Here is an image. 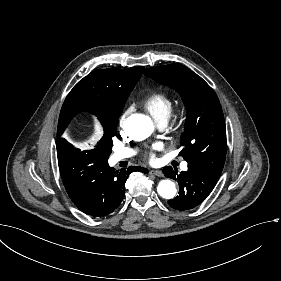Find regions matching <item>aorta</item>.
I'll use <instances>...</instances> for the list:
<instances>
[{
    "mask_svg": "<svg viewBox=\"0 0 281 281\" xmlns=\"http://www.w3.org/2000/svg\"><path fill=\"white\" fill-rule=\"evenodd\" d=\"M125 130L135 140L141 141L152 134L154 126L150 117L133 114L127 119ZM157 192L164 199H172L175 197L177 189L174 182L166 179L159 182Z\"/></svg>",
    "mask_w": 281,
    "mask_h": 281,
    "instance_id": "aorta-1",
    "label": "aorta"
}]
</instances>
